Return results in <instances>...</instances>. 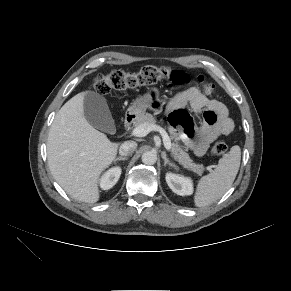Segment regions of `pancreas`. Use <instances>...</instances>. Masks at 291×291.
I'll use <instances>...</instances> for the list:
<instances>
[{
    "label": "pancreas",
    "instance_id": "cf45deb5",
    "mask_svg": "<svg viewBox=\"0 0 291 291\" xmlns=\"http://www.w3.org/2000/svg\"><path fill=\"white\" fill-rule=\"evenodd\" d=\"M156 119L153 117V115L149 113L143 114L141 117L138 118V120L135 122V127H138L144 123L155 125ZM169 132L172 139H177L178 134L171 128H169ZM172 155L176 161L180 165H182L184 168L201 175L204 167L200 164H196L193 162V160L190 158L189 154L185 152V150L179 145V143L176 141L173 143V147L171 148Z\"/></svg>",
    "mask_w": 291,
    "mask_h": 291
}]
</instances>
